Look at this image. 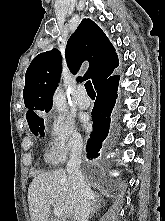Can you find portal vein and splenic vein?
Returning a JSON list of instances; mask_svg holds the SVG:
<instances>
[{
    "mask_svg": "<svg viewBox=\"0 0 165 221\" xmlns=\"http://www.w3.org/2000/svg\"><path fill=\"white\" fill-rule=\"evenodd\" d=\"M49 204H52V205L54 204L52 199H49ZM54 215L57 217H62L64 215V212L61 208L55 207L54 208Z\"/></svg>",
    "mask_w": 165,
    "mask_h": 221,
    "instance_id": "18ae733b",
    "label": "portal vein and splenic vein"
}]
</instances>
